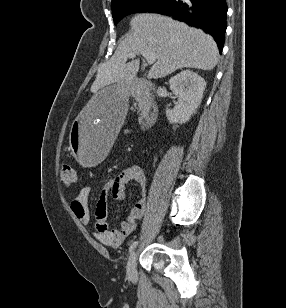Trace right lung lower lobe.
<instances>
[{
	"label": "right lung lower lobe",
	"mask_w": 286,
	"mask_h": 308,
	"mask_svg": "<svg viewBox=\"0 0 286 308\" xmlns=\"http://www.w3.org/2000/svg\"><path fill=\"white\" fill-rule=\"evenodd\" d=\"M153 13L164 14L213 36L220 53L224 45L227 5L225 0H168Z\"/></svg>",
	"instance_id": "right-lung-lower-lobe-1"
}]
</instances>
